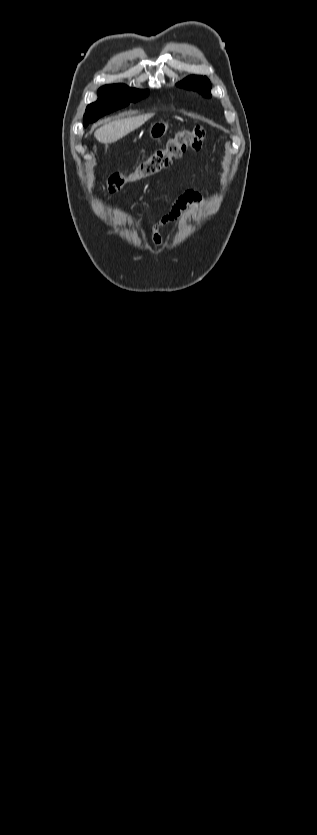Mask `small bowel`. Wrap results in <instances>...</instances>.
<instances>
[{
    "mask_svg": "<svg viewBox=\"0 0 317 835\" xmlns=\"http://www.w3.org/2000/svg\"><path fill=\"white\" fill-rule=\"evenodd\" d=\"M203 204V197L202 195L195 190H187L182 195H180L173 206L171 207L170 211L164 215L152 228L150 233V240L151 243L155 246H159L162 243V237L160 234V229L168 224L169 222L177 219L183 211L187 208H198Z\"/></svg>",
    "mask_w": 317,
    "mask_h": 835,
    "instance_id": "c3829d8e",
    "label": "small bowel"
}]
</instances>
